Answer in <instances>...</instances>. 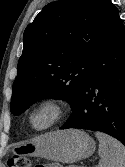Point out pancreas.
Wrapping results in <instances>:
<instances>
[{"label":"pancreas","instance_id":"obj_1","mask_svg":"<svg viewBox=\"0 0 125 167\" xmlns=\"http://www.w3.org/2000/svg\"><path fill=\"white\" fill-rule=\"evenodd\" d=\"M68 167H80V166H74V165H70V166H68Z\"/></svg>","mask_w":125,"mask_h":167}]
</instances>
